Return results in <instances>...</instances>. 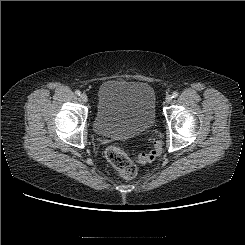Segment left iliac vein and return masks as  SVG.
<instances>
[{"mask_svg":"<svg viewBox=\"0 0 245 245\" xmlns=\"http://www.w3.org/2000/svg\"><path fill=\"white\" fill-rule=\"evenodd\" d=\"M166 103H171L172 101V96L171 95H167L165 98Z\"/></svg>","mask_w":245,"mask_h":245,"instance_id":"1","label":"left iliac vein"}]
</instances>
